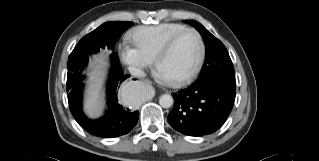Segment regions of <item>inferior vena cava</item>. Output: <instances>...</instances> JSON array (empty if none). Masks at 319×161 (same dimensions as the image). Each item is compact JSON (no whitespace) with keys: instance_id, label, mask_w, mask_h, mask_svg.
I'll return each mask as SVG.
<instances>
[{"instance_id":"obj_1","label":"inferior vena cava","mask_w":319,"mask_h":161,"mask_svg":"<svg viewBox=\"0 0 319 161\" xmlns=\"http://www.w3.org/2000/svg\"><path fill=\"white\" fill-rule=\"evenodd\" d=\"M128 70H129L130 74H132L133 76H137V77H144L145 76L144 71H142L140 68H138L136 66H129Z\"/></svg>"}]
</instances>
